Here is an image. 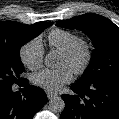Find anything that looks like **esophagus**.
<instances>
[{
    "instance_id": "34e87169",
    "label": "esophagus",
    "mask_w": 119,
    "mask_h": 119,
    "mask_svg": "<svg viewBox=\"0 0 119 119\" xmlns=\"http://www.w3.org/2000/svg\"><path fill=\"white\" fill-rule=\"evenodd\" d=\"M46 94H47L48 99H52L57 96L56 94H54L52 92H47Z\"/></svg>"
}]
</instances>
